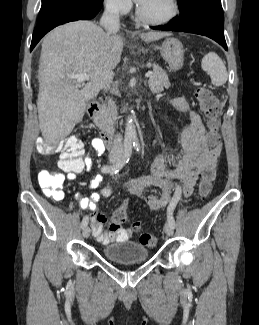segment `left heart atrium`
Wrapping results in <instances>:
<instances>
[{"instance_id": "obj_1", "label": "left heart atrium", "mask_w": 259, "mask_h": 325, "mask_svg": "<svg viewBox=\"0 0 259 325\" xmlns=\"http://www.w3.org/2000/svg\"><path fill=\"white\" fill-rule=\"evenodd\" d=\"M135 1L141 5L144 4L147 0H135Z\"/></svg>"}]
</instances>
